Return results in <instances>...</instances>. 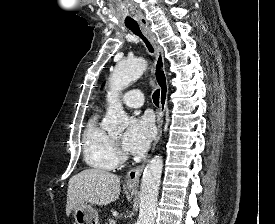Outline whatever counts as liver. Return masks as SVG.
<instances>
[{"instance_id": "obj_1", "label": "liver", "mask_w": 275, "mask_h": 224, "mask_svg": "<svg viewBox=\"0 0 275 224\" xmlns=\"http://www.w3.org/2000/svg\"><path fill=\"white\" fill-rule=\"evenodd\" d=\"M120 194V178L103 169H86L68 183L66 214L84 204L107 205Z\"/></svg>"}]
</instances>
